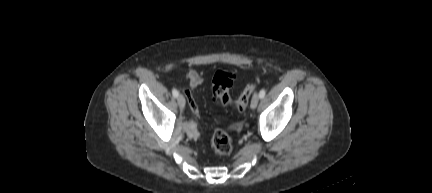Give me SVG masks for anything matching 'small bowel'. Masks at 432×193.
Instances as JSON below:
<instances>
[{"mask_svg": "<svg viewBox=\"0 0 432 193\" xmlns=\"http://www.w3.org/2000/svg\"><path fill=\"white\" fill-rule=\"evenodd\" d=\"M188 78V88L186 89V94L188 96L189 107L191 111L198 114L199 108L192 92L202 83L203 79L199 72L196 70H190L187 75ZM241 129V124L235 123L231 126V130L239 131Z\"/></svg>", "mask_w": 432, "mask_h": 193, "instance_id": "obj_1", "label": "small bowel"}]
</instances>
